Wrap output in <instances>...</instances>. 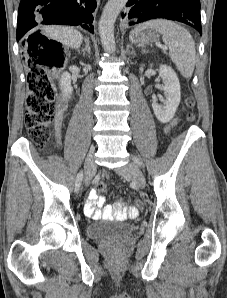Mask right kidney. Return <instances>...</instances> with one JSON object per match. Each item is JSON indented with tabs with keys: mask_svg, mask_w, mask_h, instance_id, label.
I'll use <instances>...</instances> for the list:
<instances>
[{
	"mask_svg": "<svg viewBox=\"0 0 227 298\" xmlns=\"http://www.w3.org/2000/svg\"><path fill=\"white\" fill-rule=\"evenodd\" d=\"M60 87L62 90V97L64 99H70L72 95V87H71V75L68 72H65L61 76Z\"/></svg>",
	"mask_w": 227,
	"mask_h": 298,
	"instance_id": "ca27d5eb",
	"label": "right kidney"
}]
</instances>
